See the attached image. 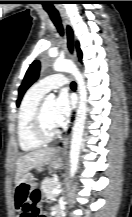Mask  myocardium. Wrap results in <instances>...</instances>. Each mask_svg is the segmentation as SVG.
<instances>
[{
	"instance_id": "f54148a6",
	"label": "myocardium",
	"mask_w": 132,
	"mask_h": 217,
	"mask_svg": "<svg viewBox=\"0 0 132 217\" xmlns=\"http://www.w3.org/2000/svg\"><path fill=\"white\" fill-rule=\"evenodd\" d=\"M46 99H42L39 105L36 108L33 117V132L35 136L43 143H48L54 140L58 134L59 130L55 128L52 131H49L44 123V106Z\"/></svg>"
}]
</instances>
